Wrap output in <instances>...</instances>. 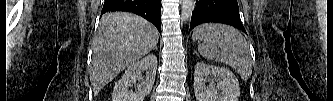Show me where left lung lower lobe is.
Masks as SVG:
<instances>
[{"label": "left lung lower lobe", "instance_id": "1", "mask_svg": "<svg viewBox=\"0 0 333 101\" xmlns=\"http://www.w3.org/2000/svg\"><path fill=\"white\" fill-rule=\"evenodd\" d=\"M206 22L225 23L246 33L237 0H196L190 30Z\"/></svg>", "mask_w": 333, "mask_h": 101}]
</instances>
